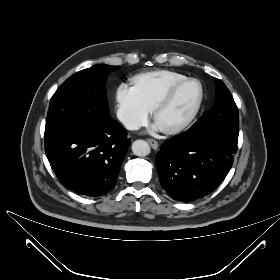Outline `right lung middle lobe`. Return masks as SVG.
<instances>
[{
	"instance_id": "right-lung-middle-lobe-1",
	"label": "right lung middle lobe",
	"mask_w": 280,
	"mask_h": 280,
	"mask_svg": "<svg viewBox=\"0 0 280 280\" xmlns=\"http://www.w3.org/2000/svg\"><path fill=\"white\" fill-rule=\"evenodd\" d=\"M119 66L95 65L69 77L51 98L45 134L70 123L108 124L112 121L105 82Z\"/></svg>"
}]
</instances>
